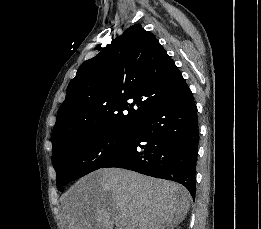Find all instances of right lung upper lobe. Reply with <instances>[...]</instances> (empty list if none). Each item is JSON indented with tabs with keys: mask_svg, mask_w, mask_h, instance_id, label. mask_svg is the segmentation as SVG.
I'll use <instances>...</instances> for the list:
<instances>
[{
	"mask_svg": "<svg viewBox=\"0 0 261 229\" xmlns=\"http://www.w3.org/2000/svg\"><path fill=\"white\" fill-rule=\"evenodd\" d=\"M182 80L156 37L131 26L70 81L52 132L53 150L82 131L135 132Z\"/></svg>",
	"mask_w": 261,
	"mask_h": 229,
	"instance_id": "obj_1",
	"label": "right lung upper lobe"
}]
</instances>
